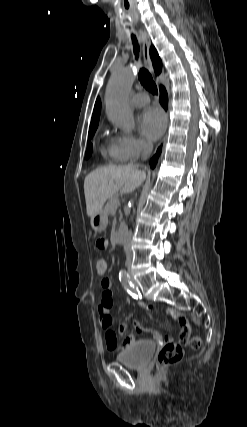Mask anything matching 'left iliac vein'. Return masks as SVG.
<instances>
[{
    "mask_svg": "<svg viewBox=\"0 0 247 427\" xmlns=\"http://www.w3.org/2000/svg\"><path fill=\"white\" fill-rule=\"evenodd\" d=\"M133 283L136 285L135 281L133 280Z\"/></svg>",
    "mask_w": 247,
    "mask_h": 427,
    "instance_id": "4c4485c4",
    "label": "left iliac vein"
}]
</instances>
